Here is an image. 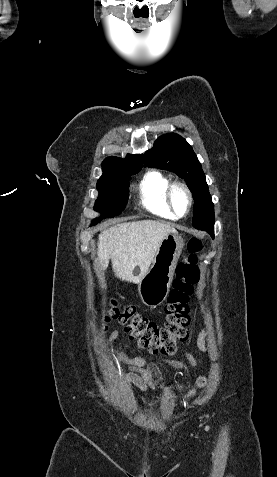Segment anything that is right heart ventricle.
Returning a JSON list of instances; mask_svg holds the SVG:
<instances>
[{
	"mask_svg": "<svg viewBox=\"0 0 277 477\" xmlns=\"http://www.w3.org/2000/svg\"><path fill=\"white\" fill-rule=\"evenodd\" d=\"M169 178L158 170L147 172L139 184L141 204L145 209L159 217L175 220L177 217L166 202V189Z\"/></svg>",
	"mask_w": 277,
	"mask_h": 477,
	"instance_id": "1",
	"label": "right heart ventricle"
}]
</instances>
